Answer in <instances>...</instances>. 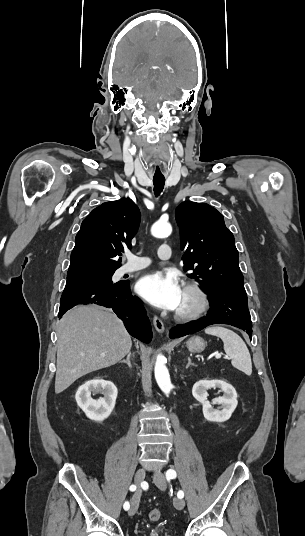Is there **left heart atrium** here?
<instances>
[{
  "instance_id": "1",
  "label": "left heart atrium",
  "mask_w": 305,
  "mask_h": 536,
  "mask_svg": "<svg viewBox=\"0 0 305 536\" xmlns=\"http://www.w3.org/2000/svg\"><path fill=\"white\" fill-rule=\"evenodd\" d=\"M135 289L141 298L160 309L175 310L181 303L182 289L172 275H144L137 281Z\"/></svg>"
}]
</instances>
